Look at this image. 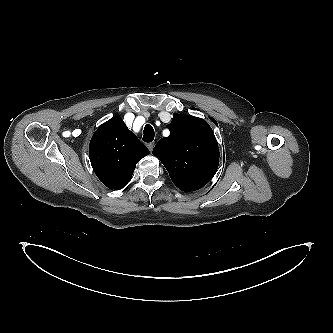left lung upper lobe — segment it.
Instances as JSON below:
<instances>
[{"label": "left lung upper lobe", "instance_id": "5c2ea615", "mask_svg": "<svg viewBox=\"0 0 333 333\" xmlns=\"http://www.w3.org/2000/svg\"><path fill=\"white\" fill-rule=\"evenodd\" d=\"M167 127L170 136L158 141L153 155L163 163L180 190L202 188L219 165L218 144L211 127L200 118L176 113Z\"/></svg>", "mask_w": 333, "mask_h": 333}]
</instances>
